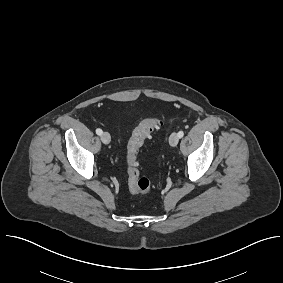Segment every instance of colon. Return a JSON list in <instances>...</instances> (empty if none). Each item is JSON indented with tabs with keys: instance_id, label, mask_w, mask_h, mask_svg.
Listing matches in <instances>:
<instances>
[{
	"instance_id": "1",
	"label": "colon",
	"mask_w": 283,
	"mask_h": 283,
	"mask_svg": "<svg viewBox=\"0 0 283 283\" xmlns=\"http://www.w3.org/2000/svg\"><path fill=\"white\" fill-rule=\"evenodd\" d=\"M161 125L157 117H149L139 123L133 130L126 148L128 187L135 194H148L152 190L151 181L140 177L138 169V153L145 140Z\"/></svg>"
}]
</instances>
